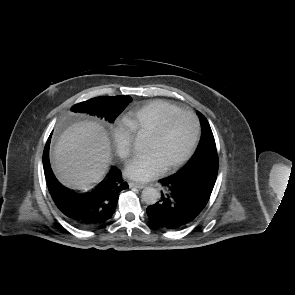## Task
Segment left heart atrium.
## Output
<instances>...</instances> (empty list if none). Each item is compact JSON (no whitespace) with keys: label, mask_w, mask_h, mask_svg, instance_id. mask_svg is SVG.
Segmentation results:
<instances>
[{"label":"left heart atrium","mask_w":295,"mask_h":295,"mask_svg":"<svg viewBox=\"0 0 295 295\" xmlns=\"http://www.w3.org/2000/svg\"><path fill=\"white\" fill-rule=\"evenodd\" d=\"M164 169L158 157L152 153L147 152L142 155L134 157L126 166V173L132 179L138 181H148Z\"/></svg>","instance_id":"39dd6f15"}]
</instances>
